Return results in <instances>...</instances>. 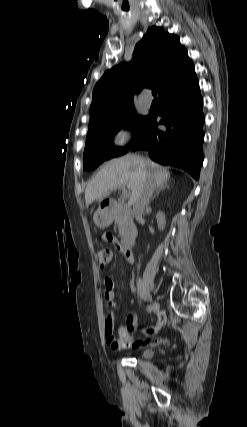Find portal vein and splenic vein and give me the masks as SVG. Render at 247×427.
I'll use <instances>...</instances> for the list:
<instances>
[{
  "label": "portal vein and splenic vein",
  "mask_w": 247,
  "mask_h": 427,
  "mask_svg": "<svg viewBox=\"0 0 247 427\" xmlns=\"http://www.w3.org/2000/svg\"><path fill=\"white\" fill-rule=\"evenodd\" d=\"M129 195L128 191L123 188L122 196L123 198H126Z\"/></svg>",
  "instance_id": "1"
}]
</instances>
